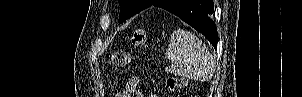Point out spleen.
<instances>
[{
  "label": "spleen",
  "instance_id": "1",
  "mask_svg": "<svg viewBox=\"0 0 302 97\" xmlns=\"http://www.w3.org/2000/svg\"><path fill=\"white\" fill-rule=\"evenodd\" d=\"M165 55L174 63L167 70L175 75L203 82L215 71V62L205 44L183 29L172 33Z\"/></svg>",
  "mask_w": 302,
  "mask_h": 97
}]
</instances>
